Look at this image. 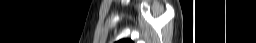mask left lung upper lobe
Listing matches in <instances>:
<instances>
[{
  "label": "left lung upper lobe",
  "mask_w": 256,
  "mask_h": 43,
  "mask_svg": "<svg viewBox=\"0 0 256 43\" xmlns=\"http://www.w3.org/2000/svg\"><path fill=\"white\" fill-rule=\"evenodd\" d=\"M117 43H133L131 40L123 39L119 40Z\"/></svg>",
  "instance_id": "obj_1"
}]
</instances>
